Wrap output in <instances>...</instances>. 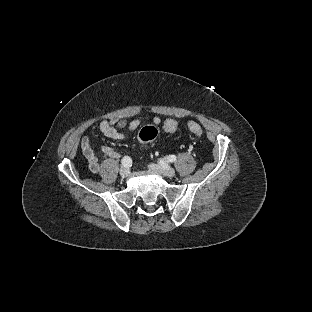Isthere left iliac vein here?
I'll list each match as a JSON object with an SVG mask.
<instances>
[{"mask_svg": "<svg viewBox=\"0 0 312 312\" xmlns=\"http://www.w3.org/2000/svg\"><path fill=\"white\" fill-rule=\"evenodd\" d=\"M150 170H152L154 173L160 175V176H167L172 177L175 174V169L168 167V166H160L157 164H151L149 166Z\"/></svg>", "mask_w": 312, "mask_h": 312, "instance_id": "1", "label": "left iliac vein"}]
</instances>
